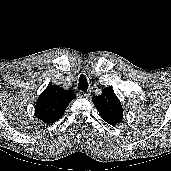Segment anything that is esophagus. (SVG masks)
<instances>
[{"instance_id":"esophagus-1","label":"esophagus","mask_w":171,"mask_h":171,"mask_svg":"<svg viewBox=\"0 0 171 171\" xmlns=\"http://www.w3.org/2000/svg\"><path fill=\"white\" fill-rule=\"evenodd\" d=\"M77 96L79 97V98H89L90 97V94L89 93H87V92H83V91H79L78 93H77Z\"/></svg>"}]
</instances>
